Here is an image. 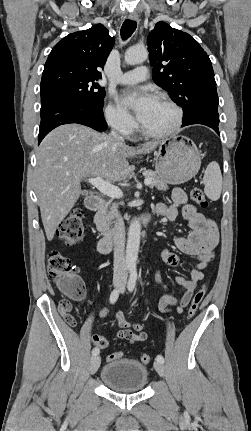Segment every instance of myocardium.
<instances>
[{
    "instance_id": "myocardium-1",
    "label": "myocardium",
    "mask_w": 251,
    "mask_h": 431,
    "mask_svg": "<svg viewBox=\"0 0 251 431\" xmlns=\"http://www.w3.org/2000/svg\"><path fill=\"white\" fill-rule=\"evenodd\" d=\"M157 100L164 102L165 104H167L173 109L175 113V119L173 124L168 129L160 132L149 131L146 128H144L142 124H139V130L141 134L144 135L145 137L153 138V139L166 138L176 133L180 129L183 122V117H184L182 108L170 97L166 95H159L157 96Z\"/></svg>"
}]
</instances>
